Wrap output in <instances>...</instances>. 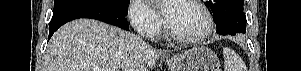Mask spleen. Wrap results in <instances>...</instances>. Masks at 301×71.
<instances>
[{
	"mask_svg": "<svg viewBox=\"0 0 301 71\" xmlns=\"http://www.w3.org/2000/svg\"><path fill=\"white\" fill-rule=\"evenodd\" d=\"M224 71H246V65L241 57L230 48H223Z\"/></svg>",
	"mask_w": 301,
	"mask_h": 71,
	"instance_id": "obj_1",
	"label": "spleen"
}]
</instances>
